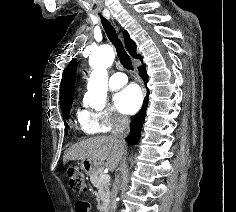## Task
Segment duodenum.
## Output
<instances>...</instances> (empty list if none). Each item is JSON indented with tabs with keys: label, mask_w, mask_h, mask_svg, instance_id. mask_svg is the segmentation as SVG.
I'll list each match as a JSON object with an SVG mask.
<instances>
[{
	"label": "duodenum",
	"mask_w": 236,
	"mask_h": 212,
	"mask_svg": "<svg viewBox=\"0 0 236 212\" xmlns=\"http://www.w3.org/2000/svg\"><path fill=\"white\" fill-rule=\"evenodd\" d=\"M104 212H110V210L109 209H104Z\"/></svg>",
	"instance_id": "duodenum-1"
}]
</instances>
